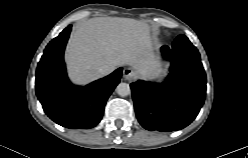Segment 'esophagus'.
Instances as JSON below:
<instances>
[{
  "label": "esophagus",
  "mask_w": 248,
  "mask_h": 158,
  "mask_svg": "<svg viewBox=\"0 0 248 158\" xmlns=\"http://www.w3.org/2000/svg\"><path fill=\"white\" fill-rule=\"evenodd\" d=\"M136 72L131 68H125L123 70V77L125 80L132 81L136 78Z\"/></svg>",
  "instance_id": "obj_1"
}]
</instances>
